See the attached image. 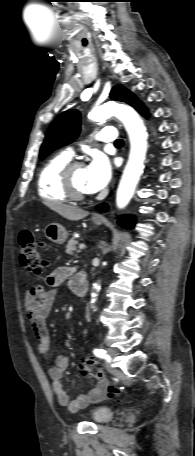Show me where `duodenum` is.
Returning a JSON list of instances; mask_svg holds the SVG:
<instances>
[{"mask_svg": "<svg viewBox=\"0 0 195 456\" xmlns=\"http://www.w3.org/2000/svg\"><path fill=\"white\" fill-rule=\"evenodd\" d=\"M71 289L78 297H84L88 291V280L84 272L76 273L71 279Z\"/></svg>", "mask_w": 195, "mask_h": 456, "instance_id": "1", "label": "duodenum"}]
</instances>
